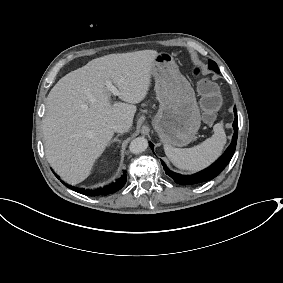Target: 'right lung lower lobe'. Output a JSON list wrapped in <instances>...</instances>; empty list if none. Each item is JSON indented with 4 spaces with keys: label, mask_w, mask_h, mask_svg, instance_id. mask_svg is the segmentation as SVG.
I'll return each instance as SVG.
<instances>
[{
    "label": "right lung lower lobe",
    "mask_w": 283,
    "mask_h": 283,
    "mask_svg": "<svg viewBox=\"0 0 283 283\" xmlns=\"http://www.w3.org/2000/svg\"><path fill=\"white\" fill-rule=\"evenodd\" d=\"M55 176L59 179V177L55 174ZM126 179H127V175L125 174V171H124V175L118 179L115 183H111L107 186H104L103 188H99V189H96V190H85V189H82V188H77V187H73V186H70L66 183H64L63 181H61L66 187L78 192V193H81V194H84V195H88V196H99V195H108V194H112L118 190H120L126 183Z\"/></svg>",
    "instance_id": "right-lung-lower-lobe-1"
}]
</instances>
